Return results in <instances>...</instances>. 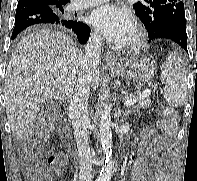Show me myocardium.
Masks as SVG:
<instances>
[{
  "mask_svg": "<svg viewBox=\"0 0 197 181\" xmlns=\"http://www.w3.org/2000/svg\"><path fill=\"white\" fill-rule=\"evenodd\" d=\"M146 39H147V34L144 28L141 25L136 24L133 27L132 38L129 41L122 42L119 45V47L120 49L126 50V51H137L145 45Z\"/></svg>",
  "mask_w": 197,
  "mask_h": 181,
  "instance_id": "1",
  "label": "myocardium"
}]
</instances>
